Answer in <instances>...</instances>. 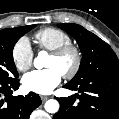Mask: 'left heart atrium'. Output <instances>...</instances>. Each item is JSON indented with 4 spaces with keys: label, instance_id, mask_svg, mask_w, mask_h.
<instances>
[{
    "label": "left heart atrium",
    "instance_id": "left-heart-atrium-1",
    "mask_svg": "<svg viewBox=\"0 0 119 119\" xmlns=\"http://www.w3.org/2000/svg\"><path fill=\"white\" fill-rule=\"evenodd\" d=\"M62 74L55 68L34 70L27 73L22 80L27 91L38 94L50 93L61 82Z\"/></svg>",
    "mask_w": 119,
    "mask_h": 119
}]
</instances>
